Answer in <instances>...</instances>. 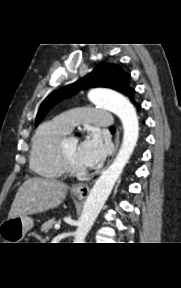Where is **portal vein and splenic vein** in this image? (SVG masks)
I'll return each instance as SVG.
<instances>
[{
	"label": "portal vein and splenic vein",
	"instance_id": "obj_1",
	"mask_svg": "<svg viewBox=\"0 0 181 288\" xmlns=\"http://www.w3.org/2000/svg\"><path fill=\"white\" fill-rule=\"evenodd\" d=\"M54 228H55L56 230H58V229H60V225H59V224H56V225L54 226Z\"/></svg>",
	"mask_w": 181,
	"mask_h": 288
}]
</instances>
